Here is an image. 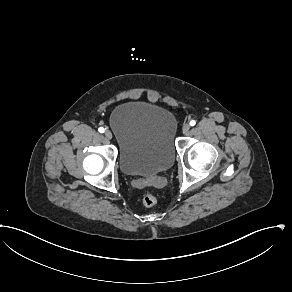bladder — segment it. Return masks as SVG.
Here are the masks:
<instances>
[{"label":"bladder","mask_w":292,"mask_h":292,"mask_svg":"<svg viewBox=\"0 0 292 292\" xmlns=\"http://www.w3.org/2000/svg\"><path fill=\"white\" fill-rule=\"evenodd\" d=\"M109 123L125 174L152 175L173 164L177 121L167 108L142 100L126 101L112 111Z\"/></svg>","instance_id":"31cf9c89"}]
</instances>
